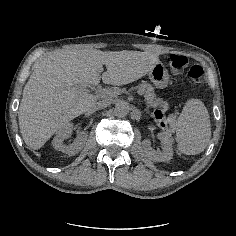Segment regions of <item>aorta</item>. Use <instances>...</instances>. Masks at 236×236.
Instances as JSON below:
<instances>
[{
	"label": "aorta",
	"instance_id": "762f6f07",
	"mask_svg": "<svg viewBox=\"0 0 236 236\" xmlns=\"http://www.w3.org/2000/svg\"><path fill=\"white\" fill-rule=\"evenodd\" d=\"M115 114L120 117L126 116L130 111V106L127 102L121 101L115 105Z\"/></svg>",
	"mask_w": 236,
	"mask_h": 236
}]
</instances>
